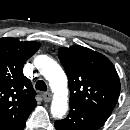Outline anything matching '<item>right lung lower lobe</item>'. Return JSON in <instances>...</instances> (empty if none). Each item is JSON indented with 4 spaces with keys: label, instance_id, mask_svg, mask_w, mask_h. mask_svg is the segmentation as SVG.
<instances>
[{
    "label": "right lung lower lobe",
    "instance_id": "98d812e1",
    "mask_svg": "<svg viewBox=\"0 0 130 130\" xmlns=\"http://www.w3.org/2000/svg\"><path fill=\"white\" fill-rule=\"evenodd\" d=\"M26 122V121H25ZM25 122L23 124H21L20 126L14 128L13 130H23L25 127Z\"/></svg>",
    "mask_w": 130,
    "mask_h": 130
}]
</instances>
